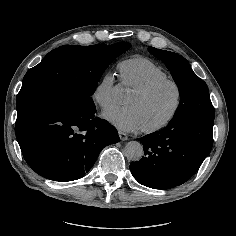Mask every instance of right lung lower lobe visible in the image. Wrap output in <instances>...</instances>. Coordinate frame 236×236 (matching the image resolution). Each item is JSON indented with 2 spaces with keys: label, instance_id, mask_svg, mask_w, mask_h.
Returning a JSON list of instances; mask_svg holds the SVG:
<instances>
[{
  "label": "right lung lower lobe",
  "instance_id": "98d812e1",
  "mask_svg": "<svg viewBox=\"0 0 236 236\" xmlns=\"http://www.w3.org/2000/svg\"><path fill=\"white\" fill-rule=\"evenodd\" d=\"M95 112V105L53 103L17 116L16 138L29 166L50 180L83 177L105 146L120 141L116 128Z\"/></svg>",
  "mask_w": 236,
  "mask_h": 236
}]
</instances>
